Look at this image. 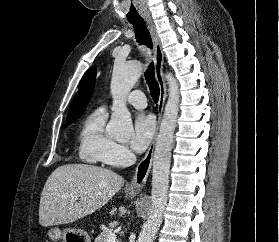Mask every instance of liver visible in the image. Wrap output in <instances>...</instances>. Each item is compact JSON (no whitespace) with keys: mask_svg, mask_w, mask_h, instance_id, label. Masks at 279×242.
Listing matches in <instances>:
<instances>
[{"mask_svg":"<svg viewBox=\"0 0 279 242\" xmlns=\"http://www.w3.org/2000/svg\"><path fill=\"white\" fill-rule=\"evenodd\" d=\"M124 182L122 176L102 167L62 165L52 172L44 185L39 223L48 227L83 218L104 206ZM116 210V207L113 208L110 214L114 215Z\"/></svg>","mask_w":279,"mask_h":242,"instance_id":"6515ba94","label":"liver"}]
</instances>
